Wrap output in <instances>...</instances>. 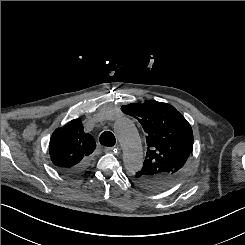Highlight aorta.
Returning <instances> with one entry per match:
<instances>
[{"label": "aorta", "mask_w": 245, "mask_h": 245, "mask_svg": "<svg viewBox=\"0 0 245 245\" xmlns=\"http://www.w3.org/2000/svg\"><path fill=\"white\" fill-rule=\"evenodd\" d=\"M114 131L123 151L124 166L129 172H137L143 163L142 144L136 127L128 118H120Z\"/></svg>", "instance_id": "762f6f07"}]
</instances>
